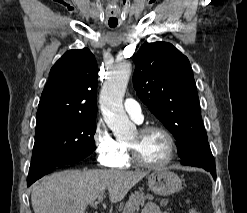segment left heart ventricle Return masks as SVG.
<instances>
[{"mask_svg": "<svg viewBox=\"0 0 247 213\" xmlns=\"http://www.w3.org/2000/svg\"><path fill=\"white\" fill-rule=\"evenodd\" d=\"M127 143L136 148L142 160L152 164L162 162L168 153L167 139L159 131H151L143 135L135 131Z\"/></svg>", "mask_w": 247, "mask_h": 213, "instance_id": "1", "label": "left heart ventricle"}]
</instances>
